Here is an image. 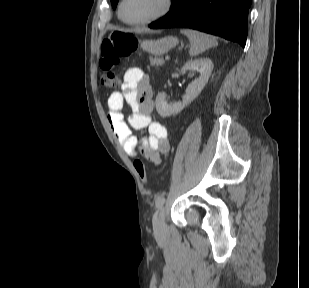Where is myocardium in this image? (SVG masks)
<instances>
[{
	"instance_id": "obj_1",
	"label": "myocardium",
	"mask_w": 309,
	"mask_h": 288,
	"mask_svg": "<svg viewBox=\"0 0 309 288\" xmlns=\"http://www.w3.org/2000/svg\"><path fill=\"white\" fill-rule=\"evenodd\" d=\"M126 0H121L119 7H118V15L119 18L127 25L129 26H144V25H148L151 24L153 22H156L160 19H162L163 17H165L166 15H168L172 8H173V4H174V0H162V8L154 15L140 20V21H128L124 18L123 16V7L125 4Z\"/></svg>"
}]
</instances>
